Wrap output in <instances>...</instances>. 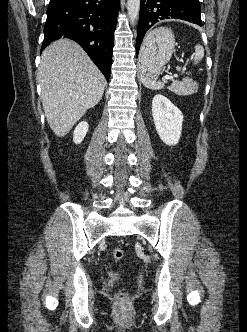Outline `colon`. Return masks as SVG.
Wrapping results in <instances>:
<instances>
[{"label":"colon","instance_id":"colon-1","mask_svg":"<svg viewBox=\"0 0 247 332\" xmlns=\"http://www.w3.org/2000/svg\"><path fill=\"white\" fill-rule=\"evenodd\" d=\"M112 254L116 261H120L124 257V250L120 247H116L113 249ZM116 298L120 303L125 304L129 301V294L127 292H119Z\"/></svg>","mask_w":247,"mask_h":332}]
</instances>
